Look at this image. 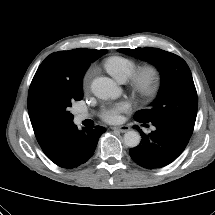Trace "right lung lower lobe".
<instances>
[{
	"label": "right lung lower lobe",
	"mask_w": 215,
	"mask_h": 215,
	"mask_svg": "<svg viewBox=\"0 0 215 215\" xmlns=\"http://www.w3.org/2000/svg\"><path fill=\"white\" fill-rule=\"evenodd\" d=\"M106 131L104 127L78 130L73 125L61 136L54 147L45 155L56 165L72 169L84 164L93 155L99 137Z\"/></svg>",
	"instance_id": "98d812e1"
}]
</instances>
